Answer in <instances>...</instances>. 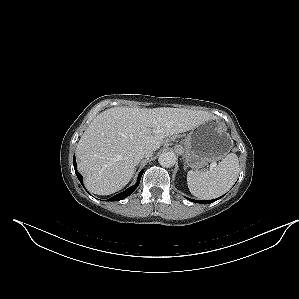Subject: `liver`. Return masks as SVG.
<instances>
[{"instance_id":"6515ba94","label":"liver","mask_w":299,"mask_h":299,"mask_svg":"<svg viewBox=\"0 0 299 299\" xmlns=\"http://www.w3.org/2000/svg\"><path fill=\"white\" fill-rule=\"evenodd\" d=\"M213 114L179 108L114 107L97 115L81 136L76 155L86 188L109 195L132 178L142 149L156 151L163 139L183 133L209 120Z\"/></svg>"}]
</instances>
